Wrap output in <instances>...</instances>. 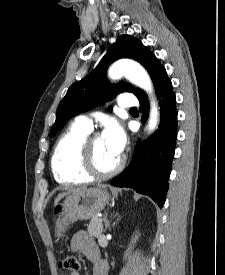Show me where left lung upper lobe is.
Listing matches in <instances>:
<instances>
[{
    "mask_svg": "<svg viewBox=\"0 0 225 275\" xmlns=\"http://www.w3.org/2000/svg\"><path fill=\"white\" fill-rule=\"evenodd\" d=\"M120 58H131L142 64L149 72L152 81L165 69L156 56L148 50L140 40L131 35H121L109 47L99 65L85 78L74 83L60 102L57 110L56 121L50 136H54L73 116L90 110L102 102L112 99L113 91L133 92L139 97L143 90L134 89L127 83L120 82L111 86L106 78L108 65ZM109 107V111H111Z\"/></svg>",
    "mask_w": 225,
    "mask_h": 275,
    "instance_id": "1",
    "label": "left lung upper lobe"
}]
</instances>
